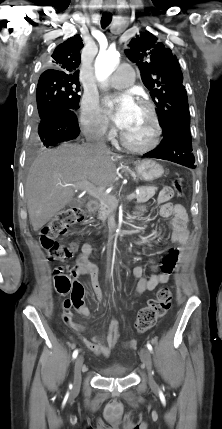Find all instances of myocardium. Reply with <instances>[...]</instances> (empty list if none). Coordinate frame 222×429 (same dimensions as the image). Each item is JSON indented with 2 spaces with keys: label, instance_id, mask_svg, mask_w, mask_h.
Here are the masks:
<instances>
[{
  "label": "myocardium",
  "instance_id": "1",
  "mask_svg": "<svg viewBox=\"0 0 222 429\" xmlns=\"http://www.w3.org/2000/svg\"><path fill=\"white\" fill-rule=\"evenodd\" d=\"M138 104L143 106L149 114V117L151 120V126H152L151 138L145 144H141V145L135 144L127 137L124 131H121L120 140L127 149L137 153H145L155 149L159 145L161 135H162V127H161V123H160L157 111L152 102L146 99H140L138 101Z\"/></svg>",
  "mask_w": 222,
  "mask_h": 429
}]
</instances>
